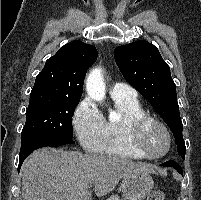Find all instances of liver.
Listing matches in <instances>:
<instances>
[{
  "instance_id": "1",
  "label": "liver",
  "mask_w": 201,
  "mask_h": 200,
  "mask_svg": "<svg viewBox=\"0 0 201 200\" xmlns=\"http://www.w3.org/2000/svg\"><path fill=\"white\" fill-rule=\"evenodd\" d=\"M152 173L153 168L122 157L82 154L76 151L42 148L22 166L23 200H92L110 193L130 173Z\"/></svg>"
}]
</instances>
